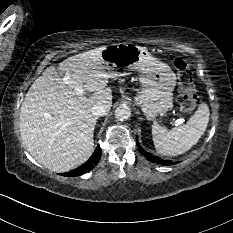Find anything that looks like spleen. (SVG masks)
<instances>
[{"label": "spleen", "instance_id": "1", "mask_svg": "<svg viewBox=\"0 0 233 233\" xmlns=\"http://www.w3.org/2000/svg\"><path fill=\"white\" fill-rule=\"evenodd\" d=\"M209 107L202 103L185 125L167 130L154 122L152 139L158 153L177 156L190 150L205 133L209 122Z\"/></svg>", "mask_w": 233, "mask_h": 233}]
</instances>
